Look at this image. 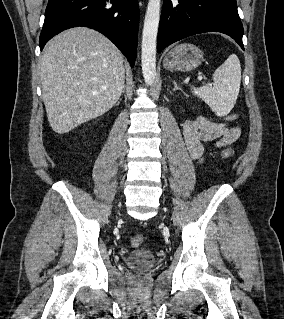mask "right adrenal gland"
Returning a JSON list of instances; mask_svg holds the SVG:
<instances>
[{"instance_id": "1", "label": "right adrenal gland", "mask_w": 284, "mask_h": 319, "mask_svg": "<svg viewBox=\"0 0 284 319\" xmlns=\"http://www.w3.org/2000/svg\"><path fill=\"white\" fill-rule=\"evenodd\" d=\"M123 92H124V90H123ZM121 100V99H120ZM120 103V101H118V103L117 104H119Z\"/></svg>"}]
</instances>
